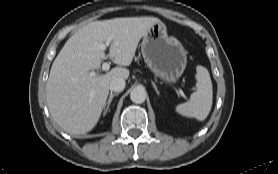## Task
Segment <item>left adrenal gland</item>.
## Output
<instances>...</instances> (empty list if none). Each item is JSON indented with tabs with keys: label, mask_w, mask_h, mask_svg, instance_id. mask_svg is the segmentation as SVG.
Masks as SVG:
<instances>
[{
	"label": "left adrenal gland",
	"mask_w": 278,
	"mask_h": 174,
	"mask_svg": "<svg viewBox=\"0 0 278 174\" xmlns=\"http://www.w3.org/2000/svg\"><path fill=\"white\" fill-rule=\"evenodd\" d=\"M152 85H153V88L155 89L156 93L159 95V91L157 89V86L155 85V83L152 81Z\"/></svg>",
	"instance_id": "1"
}]
</instances>
